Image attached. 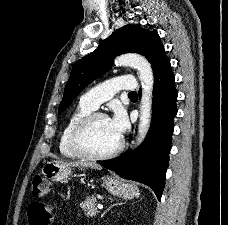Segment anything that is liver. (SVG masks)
<instances>
[{
  "label": "liver",
  "instance_id": "obj_1",
  "mask_svg": "<svg viewBox=\"0 0 228 225\" xmlns=\"http://www.w3.org/2000/svg\"><path fill=\"white\" fill-rule=\"evenodd\" d=\"M70 167H92L91 163H69Z\"/></svg>",
  "mask_w": 228,
  "mask_h": 225
}]
</instances>
